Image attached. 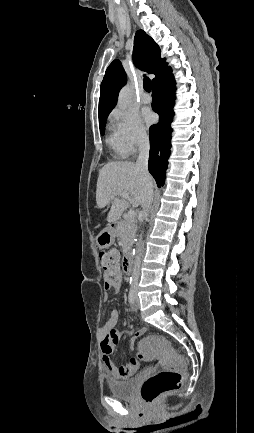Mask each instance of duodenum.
Masks as SVG:
<instances>
[{"mask_svg":"<svg viewBox=\"0 0 254 433\" xmlns=\"http://www.w3.org/2000/svg\"><path fill=\"white\" fill-rule=\"evenodd\" d=\"M111 231H116V225L111 224L110 225ZM132 266V256L129 250H126L124 253V259H123V269L125 272H130Z\"/></svg>","mask_w":254,"mask_h":433,"instance_id":"duodenum-1","label":"duodenum"}]
</instances>
